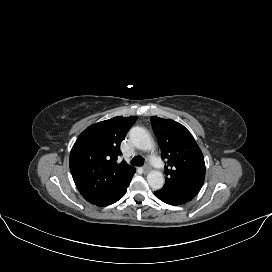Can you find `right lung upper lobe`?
<instances>
[{
    "mask_svg": "<svg viewBox=\"0 0 272 272\" xmlns=\"http://www.w3.org/2000/svg\"><path fill=\"white\" fill-rule=\"evenodd\" d=\"M137 116L114 117L86 128L72 147L70 171L81 195L91 204L109 197L125 185L135 169L118 163L120 144Z\"/></svg>",
    "mask_w": 272,
    "mask_h": 272,
    "instance_id": "cb5924a9",
    "label": "right lung upper lobe"
}]
</instances>
